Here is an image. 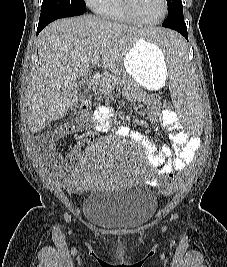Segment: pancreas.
Here are the masks:
<instances>
[{"instance_id": "1", "label": "pancreas", "mask_w": 227, "mask_h": 267, "mask_svg": "<svg viewBox=\"0 0 227 267\" xmlns=\"http://www.w3.org/2000/svg\"><path fill=\"white\" fill-rule=\"evenodd\" d=\"M128 84H134L133 80L127 76L126 72L123 70H113L111 73L107 74L102 83V92L104 94H109L117 85L126 86Z\"/></svg>"}]
</instances>
